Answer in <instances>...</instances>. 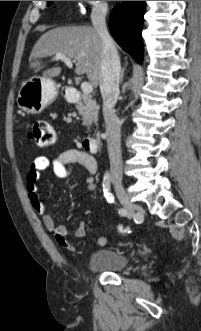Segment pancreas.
Returning a JSON list of instances; mask_svg holds the SVG:
<instances>
[{"instance_id": "obj_1", "label": "pancreas", "mask_w": 201, "mask_h": 331, "mask_svg": "<svg viewBox=\"0 0 201 331\" xmlns=\"http://www.w3.org/2000/svg\"><path fill=\"white\" fill-rule=\"evenodd\" d=\"M82 103L77 104L76 108L82 116L83 125L89 127L98 120L99 107L91 95L83 93Z\"/></svg>"}]
</instances>
